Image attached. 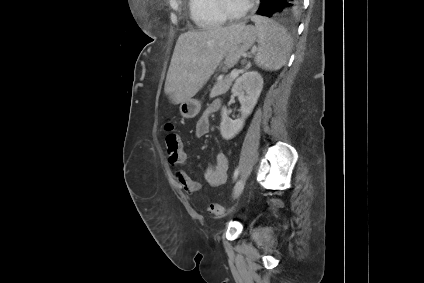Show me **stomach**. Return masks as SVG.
Masks as SVG:
<instances>
[{
	"label": "stomach",
	"instance_id": "obj_1",
	"mask_svg": "<svg viewBox=\"0 0 424 283\" xmlns=\"http://www.w3.org/2000/svg\"><path fill=\"white\" fill-rule=\"evenodd\" d=\"M257 39V30L253 26H245L230 44L221 66L224 71L236 65L239 59L250 49ZM201 103L193 98L180 104V113L184 118H193L199 114Z\"/></svg>",
	"mask_w": 424,
	"mask_h": 283
}]
</instances>
